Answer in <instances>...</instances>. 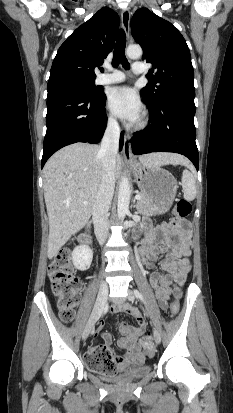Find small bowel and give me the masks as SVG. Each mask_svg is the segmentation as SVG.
Wrapping results in <instances>:
<instances>
[{"mask_svg": "<svg viewBox=\"0 0 233 413\" xmlns=\"http://www.w3.org/2000/svg\"><path fill=\"white\" fill-rule=\"evenodd\" d=\"M191 231L186 220L174 219L162 223L153 229L148 228L140 249L142 263L150 270V283L155 290L156 299L160 307H168L170 295L180 297V287L185 283L191 267ZM161 259V273L155 265ZM113 312H125L137 321V326L120 325V330L126 336L119 340L118 345L126 352L123 356H115L116 363L124 367L129 364L142 363L146 349L143 346L141 335L146 329V322L140 311L128 304H118L112 308ZM104 345H96V336L93 344L85 353V358L94 355L101 348H109L112 341L110 333L101 334Z\"/></svg>", "mask_w": 233, "mask_h": 413, "instance_id": "obj_1", "label": "small bowel"}]
</instances>
